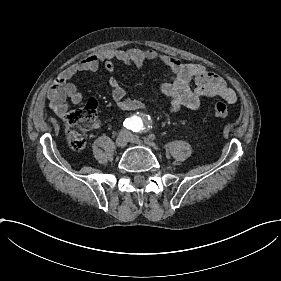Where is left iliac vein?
I'll use <instances>...</instances> for the list:
<instances>
[{"label":"left iliac vein","mask_w":281,"mask_h":281,"mask_svg":"<svg viewBox=\"0 0 281 281\" xmlns=\"http://www.w3.org/2000/svg\"><path fill=\"white\" fill-rule=\"evenodd\" d=\"M126 136L128 137V142H130V143H136V144H139V146H141L142 145V141H140V139L139 138H136V135H133V134H131L130 132H127L126 133Z\"/></svg>","instance_id":"left-iliac-vein-1"}]
</instances>
